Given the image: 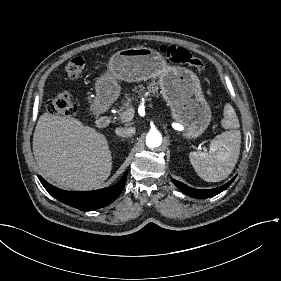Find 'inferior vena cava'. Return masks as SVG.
I'll return each instance as SVG.
<instances>
[{"instance_id": "602c4592", "label": "inferior vena cava", "mask_w": 281, "mask_h": 281, "mask_svg": "<svg viewBox=\"0 0 281 281\" xmlns=\"http://www.w3.org/2000/svg\"><path fill=\"white\" fill-rule=\"evenodd\" d=\"M129 135H130V133L128 132L127 129H124L121 131V136H129Z\"/></svg>"}]
</instances>
